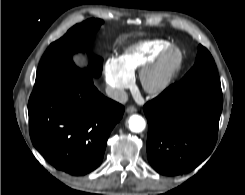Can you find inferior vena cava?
<instances>
[{
    "label": "inferior vena cava",
    "instance_id": "602c4592",
    "mask_svg": "<svg viewBox=\"0 0 245 195\" xmlns=\"http://www.w3.org/2000/svg\"><path fill=\"white\" fill-rule=\"evenodd\" d=\"M105 91L109 98L119 103L124 104L128 100V95L123 89L112 88V87L107 86Z\"/></svg>",
    "mask_w": 245,
    "mask_h": 195
}]
</instances>
